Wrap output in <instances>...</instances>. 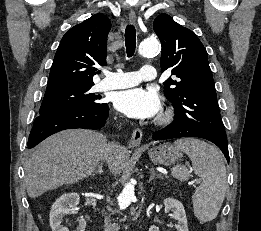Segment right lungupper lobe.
I'll return each mask as SVG.
<instances>
[{"label":"right lung upper lobe","instance_id":"cb5924a9","mask_svg":"<svg viewBox=\"0 0 261 231\" xmlns=\"http://www.w3.org/2000/svg\"><path fill=\"white\" fill-rule=\"evenodd\" d=\"M110 28L111 22L103 14H95L72 27L61 39L47 89L92 87L96 67L106 65Z\"/></svg>","mask_w":261,"mask_h":231}]
</instances>
